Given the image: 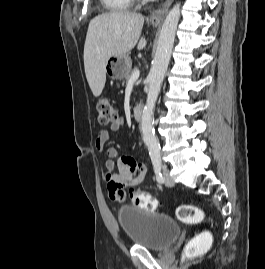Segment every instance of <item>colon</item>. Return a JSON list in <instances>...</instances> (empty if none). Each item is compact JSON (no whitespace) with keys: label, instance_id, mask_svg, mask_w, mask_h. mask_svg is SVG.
<instances>
[{"label":"colon","instance_id":"colon-1","mask_svg":"<svg viewBox=\"0 0 265 269\" xmlns=\"http://www.w3.org/2000/svg\"><path fill=\"white\" fill-rule=\"evenodd\" d=\"M98 121L101 125L113 124L117 121V112L108 99H99L96 104ZM131 201L135 206L141 207L148 211H154L157 206V200L150 194L142 190H134L131 192ZM177 216L183 222H200L204 215L202 211L195 205L182 204L177 209ZM208 233L203 232L193 238L185 247V256L187 258L195 257L199 254L204 240Z\"/></svg>","mask_w":265,"mask_h":269}]
</instances>
